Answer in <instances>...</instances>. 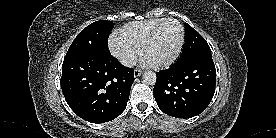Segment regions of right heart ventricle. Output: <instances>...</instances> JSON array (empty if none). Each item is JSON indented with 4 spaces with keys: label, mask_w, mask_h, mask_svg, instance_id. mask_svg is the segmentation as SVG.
Masks as SVG:
<instances>
[{
    "label": "right heart ventricle",
    "mask_w": 276,
    "mask_h": 138,
    "mask_svg": "<svg viewBox=\"0 0 276 138\" xmlns=\"http://www.w3.org/2000/svg\"><path fill=\"white\" fill-rule=\"evenodd\" d=\"M164 18L131 22L122 27L117 36L141 49L152 29Z\"/></svg>",
    "instance_id": "e07e8e85"
}]
</instances>
